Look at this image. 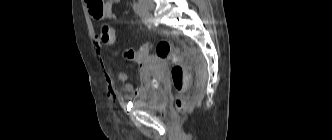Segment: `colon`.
Wrapping results in <instances>:
<instances>
[{
  "instance_id": "1",
  "label": "colon",
  "mask_w": 332,
  "mask_h": 140,
  "mask_svg": "<svg viewBox=\"0 0 332 140\" xmlns=\"http://www.w3.org/2000/svg\"><path fill=\"white\" fill-rule=\"evenodd\" d=\"M108 0H85L90 14L95 19H101L105 11ZM100 34L105 37H117L118 31L116 27L108 22H102L99 26ZM151 46L145 44L139 50H127L125 57L130 60L140 61L144 59L150 51ZM157 56L171 63L170 78L173 87L179 93L176 100V108L178 111H185L191 105V99L185 94L190 84V76L184 63L183 54L175 49L169 41H159L156 46Z\"/></svg>"
}]
</instances>
